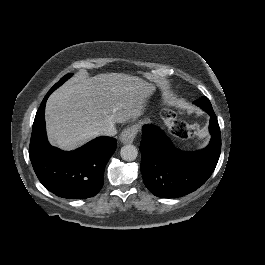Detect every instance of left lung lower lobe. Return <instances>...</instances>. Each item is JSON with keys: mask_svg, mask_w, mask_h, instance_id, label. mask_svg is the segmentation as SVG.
<instances>
[{"mask_svg": "<svg viewBox=\"0 0 265 265\" xmlns=\"http://www.w3.org/2000/svg\"><path fill=\"white\" fill-rule=\"evenodd\" d=\"M211 119L209 145L196 152L176 149L166 135L154 125H145L140 145L144 184L156 196L181 197L203 185L213 173L221 150L217 117L207 97L194 102Z\"/></svg>", "mask_w": 265, "mask_h": 265, "instance_id": "1", "label": "left lung lower lobe"}]
</instances>
